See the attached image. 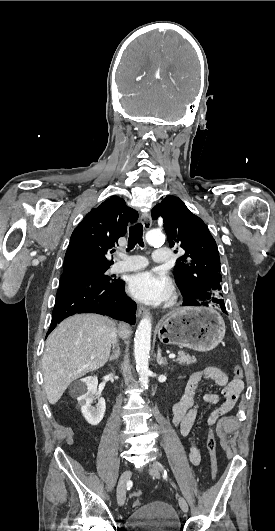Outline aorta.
Listing matches in <instances>:
<instances>
[{
  "label": "aorta",
  "mask_w": 275,
  "mask_h": 531,
  "mask_svg": "<svg viewBox=\"0 0 275 531\" xmlns=\"http://www.w3.org/2000/svg\"><path fill=\"white\" fill-rule=\"evenodd\" d=\"M161 237L162 233L149 231L146 235V241L149 245H154ZM151 331L152 323L150 317H143L135 333L134 357L137 373H139V381L144 389H147L150 377L149 353L151 349Z\"/></svg>",
  "instance_id": "762f6f07"
}]
</instances>
